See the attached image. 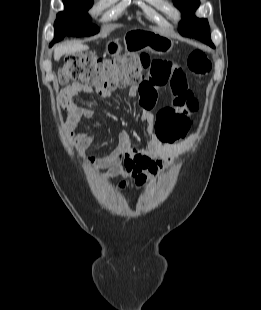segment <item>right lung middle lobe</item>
Here are the masks:
<instances>
[{"mask_svg": "<svg viewBox=\"0 0 261 310\" xmlns=\"http://www.w3.org/2000/svg\"><path fill=\"white\" fill-rule=\"evenodd\" d=\"M65 11L57 14L54 24V39L64 36H90L99 32V28L89 22L88 9L93 0H63Z\"/></svg>", "mask_w": 261, "mask_h": 310, "instance_id": "dd1d6c3e", "label": "right lung middle lobe"}]
</instances>
